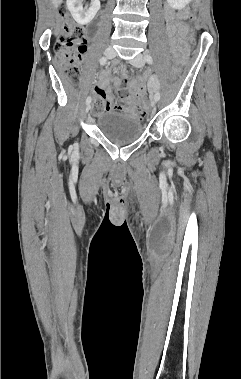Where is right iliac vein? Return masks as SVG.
Segmentation results:
<instances>
[{"mask_svg":"<svg viewBox=\"0 0 241 379\" xmlns=\"http://www.w3.org/2000/svg\"><path fill=\"white\" fill-rule=\"evenodd\" d=\"M104 54L109 59H112V58H114L116 56V52H115V50L111 46H108L105 49ZM90 109H91V105L87 104L86 112H89Z\"/></svg>","mask_w":241,"mask_h":379,"instance_id":"1","label":"right iliac vein"}]
</instances>
